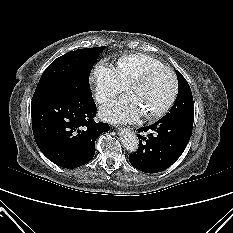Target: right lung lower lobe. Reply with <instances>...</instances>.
<instances>
[{
	"label": "right lung lower lobe",
	"mask_w": 233,
	"mask_h": 233,
	"mask_svg": "<svg viewBox=\"0 0 233 233\" xmlns=\"http://www.w3.org/2000/svg\"><path fill=\"white\" fill-rule=\"evenodd\" d=\"M91 90L72 87L32 100L31 115L35 141L42 153L63 168H76L95 154V140L109 131L96 122Z\"/></svg>",
	"instance_id": "98d812e1"
}]
</instances>
